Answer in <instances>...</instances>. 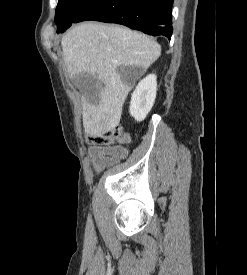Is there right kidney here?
I'll list each match as a JSON object with an SVG mask.
<instances>
[{"label": "right kidney", "instance_id": "right-kidney-1", "mask_svg": "<svg viewBox=\"0 0 247 275\" xmlns=\"http://www.w3.org/2000/svg\"><path fill=\"white\" fill-rule=\"evenodd\" d=\"M157 77L150 74L141 80L132 93L129 112L136 121H142L150 112L157 91Z\"/></svg>", "mask_w": 247, "mask_h": 275}]
</instances>
